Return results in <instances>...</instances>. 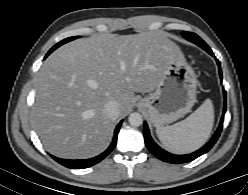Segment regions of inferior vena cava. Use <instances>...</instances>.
<instances>
[{
    "label": "inferior vena cava",
    "instance_id": "602c4592",
    "mask_svg": "<svg viewBox=\"0 0 248 195\" xmlns=\"http://www.w3.org/2000/svg\"><path fill=\"white\" fill-rule=\"evenodd\" d=\"M103 113L110 119H117L120 115L118 102L115 100L108 101L103 108Z\"/></svg>",
    "mask_w": 248,
    "mask_h": 195
}]
</instances>
